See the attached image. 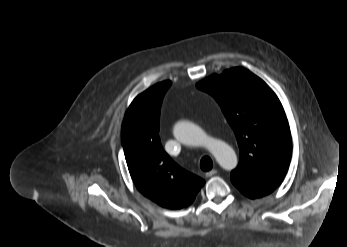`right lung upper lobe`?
<instances>
[{"instance_id":"1","label":"right lung upper lobe","mask_w":347,"mask_h":247,"mask_svg":"<svg viewBox=\"0 0 347 247\" xmlns=\"http://www.w3.org/2000/svg\"><path fill=\"white\" fill-rule=\"evenodd\" d=\"M170 85L157 83L133 100L122 125V145L136 188L161 207L181 209L194 201L205 181L179 167L161 146L160 107Z\"/></svg>"}]
</instances>
